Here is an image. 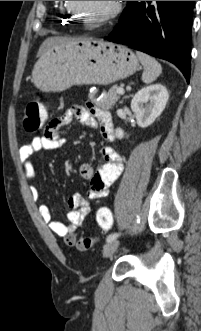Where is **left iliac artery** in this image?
<instances>
[{
    "instance_id": "44dca946",
    "label": "left iliac artery",
    "mask_w": 201,
    "mask_h": 331,
    "mask_svg": "<svg viewBox=\"0 0 201 331\" xmlns=\"http://www.w3.org/2000/svg\"><path fill=\"white\" fill-rule=\"evenodd\" d=\"M139 222H140V220H139V218H137L136 223L138 224ZM118 236H119L118 233H112V234H110V235L107 237L106 241H107V242H110V241H112V240H115Z\"/></svg>"
}]
</instances>
